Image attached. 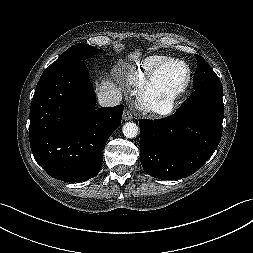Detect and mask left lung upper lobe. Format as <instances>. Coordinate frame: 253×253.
I'll return each mask as SVG.
<instances>
[{"instance_id":"left-lung-upper-lobe-1","label":"left lung upper lobe","mask_w":253,"mask_h":253,"mask_svg":"<svg viewBox=\"0 0 253 253\" xmlns=\"http://www.w3.org/2000/svg\"><path fill=\"white\" fill-rule=\"evenodd\" d=\"M197 59V70L194 76L193 89L214 88L223 90L222 83L216 73L207 65L206 61L199 55H195Z\"/></svg>"}]
</instances>
